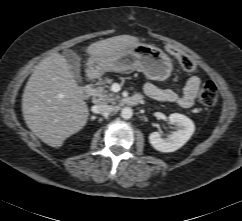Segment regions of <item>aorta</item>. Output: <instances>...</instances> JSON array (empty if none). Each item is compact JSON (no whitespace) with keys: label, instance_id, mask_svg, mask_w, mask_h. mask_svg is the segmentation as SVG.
Masks as SVG:
<instances>
[{"label":"aorta","instance_id":"1","mask_svg":"<svg viewBox=\"0 0 242 221\" xmlns=\"http://www.w3.org/2000/svg\"><path fill=\"white\" fill-rule=\"evenodd\" d=\"M132 115H133L132 109L129 107H124L121 111V117L125 120L130 119Z\"/></svg>","mask_w":242,"mask_h":221}]
</instances>
